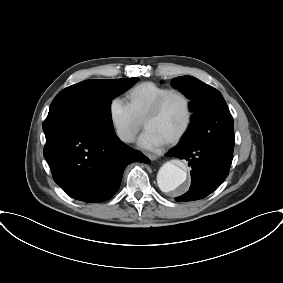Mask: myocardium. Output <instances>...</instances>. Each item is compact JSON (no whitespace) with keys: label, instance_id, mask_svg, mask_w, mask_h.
I'll use <instances>...</instances> for the list:
<instances>
[{"label":"myocardium","instance_id":"obj_1","mask_svg":"<svg viewBox=\"0 0 283 283\" xmlns=\"http://www.w3.org/2000/svg\"><path fill=\"white\" fill-rule=\"evenodd\" d=\"M173 95H178L184 100L185 107H186V119H185V122L182 128L173 137H171L170 139L166 141L167 144H174L180 141L184 137V135L187 133L192 123L193 105H192V100L189 97V95L183 90L176 89V88L167 90L154 102V104L150 107V109L148 110V112L146 113L143 119V126L146 128L147 122L159 114V112L162 110L168 98Z\"/></svg>","mask_w":283,"mask_h":283}]
</instances>
